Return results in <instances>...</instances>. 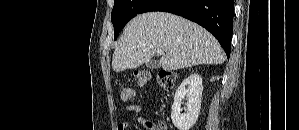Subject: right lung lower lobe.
<instances>
[{
	"instance_id": "1",
	"label": "right lung lower lobe",
	"mask_w": 299,
	"mask_h": 130,
	"mask_svg": "<svg viewBox=\"0 0 299 130\" xmlns=\"http://www.w3.org/2000/svg\"><path fill=\"white\" fill-rule=\"evenodd\" d=\"M164 11L192 20L211 32L229 58L234 0H149L140 13Z\"/></svg>"
}]
</instances>
